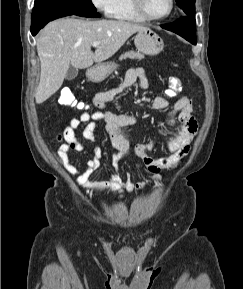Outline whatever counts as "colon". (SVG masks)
Masks as SVG:
<instances>
[{"label": "colon", "instance_id": "obj_1", "mask_svg": "<svg viewBox=\"0 0 243 289\" xmlns=\"http://www.w3.org/2000/svg\"><path fill=\"white\" fill-rule=\"evenodd\" d=\"M182 89V83L177 77H170L168 80V88L166 94L169 97H175ZM59 103L64 106H75L79 108H83L84 105L82 103H78L76 101L74 93L69 88H63L60 91Z\"/></svg>", "mask_w": 243, "mask_h": 289}]
</instances>
